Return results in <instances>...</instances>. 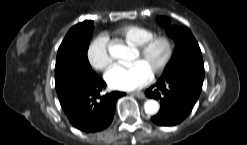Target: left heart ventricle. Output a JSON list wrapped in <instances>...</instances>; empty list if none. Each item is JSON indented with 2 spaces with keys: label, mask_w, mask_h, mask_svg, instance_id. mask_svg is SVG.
<instances>
[{
  "label": "left heart ventricle",
  "mask_w": 247,
  "mask_h": 145,
  "mask_svg": "<svg viewBox=\"0 0 247 145\" xmlns=\"http://www.w3.org/2000/svg\"><path fill=\"white\" fill-rule=\"evenodd\" d=\"M165 55V46L163 43H156L146 54L134 52L132 62L143 63L151 72L160 64Z\"/></svg>",
  "instance_id": "1"
}]
</instances>
